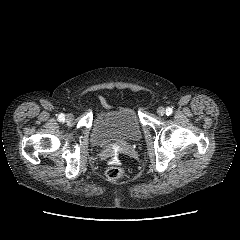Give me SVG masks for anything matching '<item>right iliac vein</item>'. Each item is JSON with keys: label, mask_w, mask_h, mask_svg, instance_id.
I'll list each match as a JSON object with an SVG mask.
<instances>
[{"label": "right iliac vein", "mask_w": 240, "mask_h": 240, "mask_svg": "<svg viewBox=\"0 0 240 240\" xmlns=\"http://www.w3.org/2000/svg\"><path fill=\"white\" fill-rule=\"evenodd\" d=\"M74 119V116L72 114H67L65 117L66 122H72Z\"/></svg>", "instance_id": "1"}]
</instances>
